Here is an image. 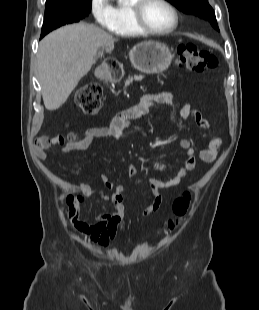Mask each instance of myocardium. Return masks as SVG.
I'll list each match as a JSON object with an SVG mask.
<instances>
[{
    "instance_id": "1",
    "label": "myocardium",
    "mask_w": 259,
    "mask_h": 310,
    "mask_svg": "<svg viewBox=\"0 0 259 310\" xmlns=\"http://www.w3.org/2000/svg\"><path fill=\"white\" fill-rule=\"evenodd\" d=\"M151 0H135L131 5L130 13L131 18L136 28L144 34L153 36H165L174 32L180 23V16L177 8L169 0H158L163 3L173 14L174 23L166 30H155L151 28L144 19V9Z\"/></svg>"
}]
</instances>
